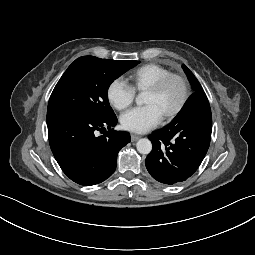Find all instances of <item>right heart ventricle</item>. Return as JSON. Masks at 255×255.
I'll return each mask as SVG.
<instances>
[{"instance_id":"right-heart-ventricle-1","label":"right heart ventricle","mask_w":255,"mask_h":255,"mask_svg":"<svg viewBox=\"0 0 255 255\" xmlns=\"http://www.w3.org/2000/svg\"><path fill=\"white\" fill-rule=\"evenodd\" d=\"M171 71L156 63H148L137 68L131 75L134 90L143 92Z\"/></svg>"}]
</instances>
